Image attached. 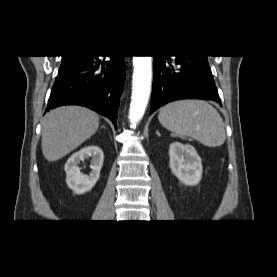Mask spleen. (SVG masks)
Returning <instances> with one entry per match:
<instances>
[{
	"mask_svg": "<svg viewBox=\"0 0 277 277\" xmlns=\"http://www.w3.org/2000/svg\"><path fill=\"white\" fill-rule=\"evenodd\" d=\"M163 127L180 136L192 137L208 147L225 142V128L218 111L206 101L180 100L161 108L158 115Z\"/></svg>",
	"mask_w": 277,
	"mask_h": 277,
	"instance_id": "obj_1",
	"label": "spleen"
}]
</instances>
